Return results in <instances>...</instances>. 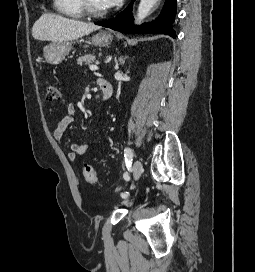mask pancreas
<instances>
[{
	"label": "pancreas",
	"mask_w": 255,
	"mask_h": 272,
	"mask_svg": "<svg viewBox=\"0 0 255 272\" xmlns=\"http://www.w3.org/2000/svg\"><path fill=\"white\" fill-rule=\"evenodd\" d=\"M95 60L94 54H88L77 59V64L82 66L83 64L90 65Z\"/></svg>",
	"instance_id": "obj_1"
}]
</instances>
